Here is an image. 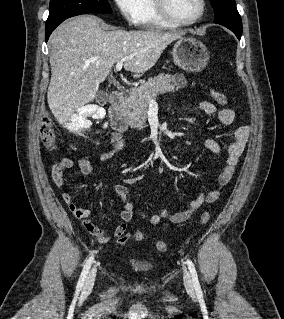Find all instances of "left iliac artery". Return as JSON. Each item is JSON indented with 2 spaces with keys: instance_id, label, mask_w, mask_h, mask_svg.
<instances>
[{
  "instance_id": "44dca946",
  "label": "left iliac artery",
  "mask_w": 284,
  "mask_h": 319,
  "mask_svg": "<svg viewBox=\"0 0 284 319\" xmlns=\"http://www.w3.org/2000/svg\"><path fill=\"white\" fill-rule=\"evenodd\" d=\"M187 265H188L189 271H190L191 276H192V281H193V284H194V288H195L197 293H201L202 292L201 291V286H200V283H199V280H198V276H197V272H196L195 266H194L193 262L190 259H187Z\"/></svg>"
}]
</instances>
